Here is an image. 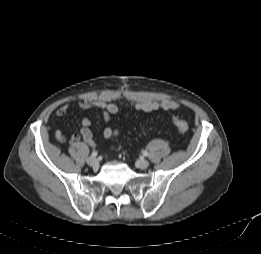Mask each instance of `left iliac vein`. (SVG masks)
Here are the masks:
<instances>
[{
  "label": "left iliac vein",
  "instance_id": "obj_1",
  "mask_svg": "<svg viewBox=\"0 0 261 254\" xmlns=\"http://www.w3.org/2000/svg\"><path fill=\"white\" fill-rule=\"evenodd\" d=\"M137 167L140 169H146L149 166V162L147 160H145L144 158H140L137 163H136Z\"/></svg>",
  "mask_w": 261,
  "mask_h": 254
}]
</instances>
